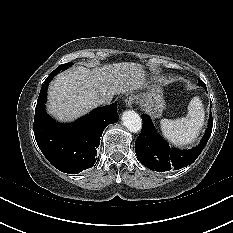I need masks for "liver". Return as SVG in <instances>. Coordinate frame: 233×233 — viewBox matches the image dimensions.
<instances>
[{
  "label": "liver",
  "instance_id": "liver-1",
  "mask_svg": "<svg viewBox=\"0 0 233 233\" xmlns=\"http://www.w3.org/2000/svg\"><path fill=\"white\" fill-rule=\"evenodd\" d=\"M144 83L142 65L134 62L114 63L92 70L73 67L50 83L47 111L61 122H70L97 107L99 97L137 90Z\"/></svg>",
  "mask_w": 233,
  "mask_h": 233
}]
</instances>
